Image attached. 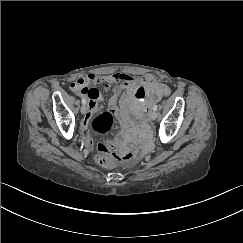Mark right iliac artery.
<instances>
[{"mask_svg": "<svg viewBox=\"0 0 243 243\" xmlns=\"http://www.w3.org/2000/svg\"><path fill=\"white\" fill-rule=\"evenodd\" d=\"M85 102H86V101H85V99H84V98H82V104H85Z\"/></svg>", "mask_w": 243, "mask_h": 243, "instance_id": "82829eb1", "label": "right iliac artery"}]
</instances>
